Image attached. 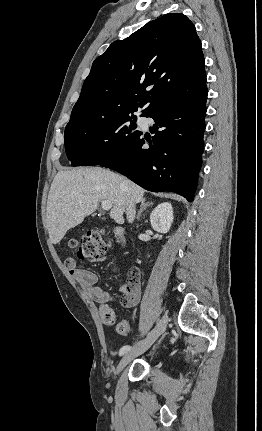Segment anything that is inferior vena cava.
Returning a JSON list of instances; mask_svg holds the SVG:
<instances>
[{
	"mask_svg": "<svg viewBox=\"0 0 262 431\" xmlns=\"http://www.w3.org/2000/svg\"><path fill=\"white\" fill-rule=\"evenodd\" d=\"M135 204L133 202H129V204L126 207V215H127V219L128 222H133L134 218H135Z\"/></svg>",
	"mask_w": 262,
	"mask_h": 431,
	"instance_id": "inferior-vena-cava-1",
	"label": "inferior vena cava"
}]
</instances>
